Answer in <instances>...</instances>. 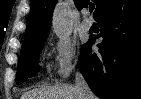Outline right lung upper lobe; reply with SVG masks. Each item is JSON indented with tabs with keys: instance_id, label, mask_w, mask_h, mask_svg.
<instances>
[{
	"instance_id": "obj_1",
	"label": "right lung upper lobe",
	"mask_w": 141,
	"mask_h": 99,
	"mask_svg": "<svg viewBox=\"0 0 141 99\" xmlns=\"http://www.w3.org/2000/svg\"><path fill=\"white\" fill-rule=\"evenodd\" d=\"M56 2L57 0H32L23 45L38 41L48 35ZM74 2L79 10L89 4V0H74ZM93 2L97 5L94 12V17L97 18L108 8L111 0H93Z\"/></svg>"
}]
</instances>
